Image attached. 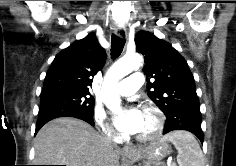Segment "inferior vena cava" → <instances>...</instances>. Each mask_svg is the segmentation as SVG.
Here are the masks:
<instances>
[{
    "instance_id": "obj_1",
    "label": "inferior vena cava",
    "mask_w": 236,
    "mask_h": 166,
    "mask_svg": "<svg viewBox=\"0 0 236 166\" xmlns=\"http://www.w3.org/2000/svg\"><path fill=\"white\" fill-rule=\"evenodd\" d=\"M106 139V142L110 148H114L116 146L115 142L113 141L111 136H104Z\"/></svg>"
}]
</instances>
